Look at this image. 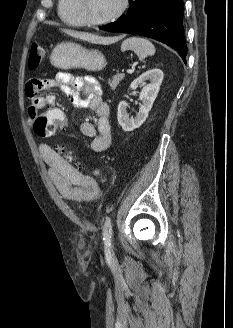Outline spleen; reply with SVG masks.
I'll list each match as a JSON object with an SVG mask.
<instances>
[{"mask_svg":"<svg viewBox=\"0 0 233 328\" xmlns=\"http://www.w3.org/2000/svg\"><path fill=\"white\" fill-rule=\"evenodd\" d=\"M132 50L141 61L155 53L154 45L147 39L141 37H130L121 44V51Z\"/></svg>","mask_w":233,"mask_h":328,"instance_id":"3e777b00","label":"spleen"}]
</instances>
